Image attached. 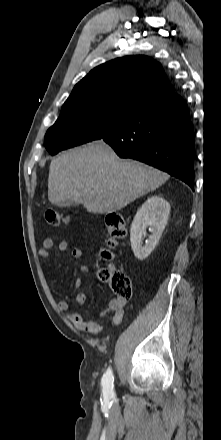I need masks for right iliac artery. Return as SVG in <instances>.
<instances>
[{
  "instance_id": "obj_1",
  "label": "right iliac artery",
  "mask_w": 221,
  "mask_h": 440,
  "mask_svg": "<svg viewBox=\"0 0 221 440\" xmlns=\"http://www.w3.org/2000/svg\"><path fill=\"white\" fill-rule=\"evenodd\" d=\"M114 377L111 368H108L102 378L103 394L104 397L110 398L114 396Z\"/></svg>"
}]
</instances>
